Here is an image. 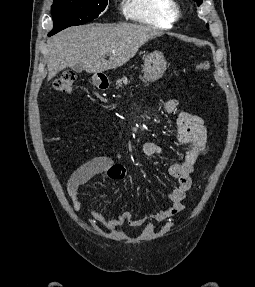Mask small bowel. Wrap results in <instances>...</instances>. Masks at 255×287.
I'll return each mask as SVG.
<instances>
[{"label":"small bowel","instance_id":"small-bowel-1","mask_svg":"<svg viewBox=\"0 0 255 287\" xmlns=\"http://www.w3.org/2000/svg\"><path fill=\"white\" fill-rule=\"evenodd\" d=\"M179 102L176 99L169 98L164 102L163 108L166 113H173L177 110ZM177 139L187 148V153L180 163L172 164L169 167V173L177 180V186L169 195V204L145 219H135L128 211H123L113 218H107L102 213L91 210L90 221L93 224H99L111 231L122 230L125 223L137 227L146 221L162 222L183 210V199L191 187V174L194 165L199 157L205 156L209 150L207 130L204 121L197 115L182 111L177 116ZM140 152L144 156H160L164 149L153 142H145L140 146ZM94 177H103L111 180H122L126 177V169L120 163L114 162L110 157H95L78 169L71 175L67 183V192L72 200L75 211L82 208L81 188Z\"/></svg>","mask_w":255,"mask_h":287}]
</instances>
